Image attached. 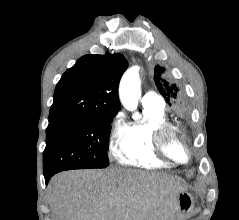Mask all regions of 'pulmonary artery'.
I'll list each match as a JSON object with an SVG mask.
<instances>
[{"mask_svg":"<svg viewBox=\"0 0 239 220\" xmlns=\"http://www.w3.org/2000/svg\"><path fill=\"white\" fill-rule=\"evenodd\" d=\"M142 105L164 108V99L155 91H147L142 97Z\"/></svg>","mask_w":239,"mask_h":220,"instance_id":"e3ab8cb5","label":"pulmonary artery"}]
</instances>
